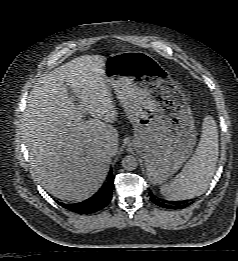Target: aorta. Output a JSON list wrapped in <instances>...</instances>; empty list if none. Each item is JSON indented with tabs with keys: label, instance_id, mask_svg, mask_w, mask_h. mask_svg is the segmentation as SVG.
<instances>
[{
	"label": "aorta",
	"instance_id": "aorta-1",
	"mask_svg": "<svg viewBox=\"0 0 238 261\" xmlns=\"http://www.w3.org/2000/svg\"><path fill=\"white\" fill-rule=\"evenodd\" d=\"M137 166L138 161L133 155H127L122 159V167L127 171H133Z\"/></svg>",
	"mask_w": 238,
	"mask_h": 261
}]
</instances>
